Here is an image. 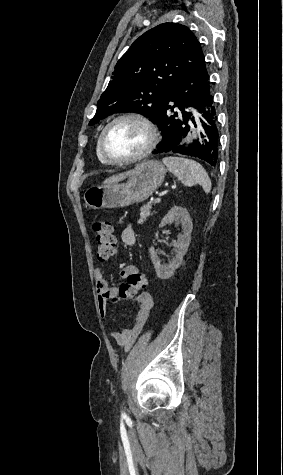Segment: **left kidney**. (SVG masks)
Here are the masks:
<instances>
[{
	"label": "left kidney",
	"mask_w": 283,
	"mask_h": 475,
	"mask_svg": "<svg viewBox=\"0 0 283 475\" xmlns=\"http://www.w3.org/2000/svg\"><path fill=\"white\" fill-rule=\"evenodd\" d=\"M172 222H175V224H181L182 232L179 234V236H177V239H173L172 241V245L175 247V255L172 257V259H170L169 263L162 265L161 259L157 255V249H155L154 245L149 247L155 271L160 279H168V277L173 275L175 269L180 267L183 255H185L191 241L193 224L187 208L173 206V208L169 210L168 214L162 218L159 228H163V226H166V224H172ZM155 236L157 238L158 232H156Z\"/></svg>",
	"instance_id": "1"
}]
</instances>
